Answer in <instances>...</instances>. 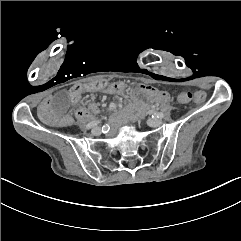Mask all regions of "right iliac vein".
<instances>
[{"mask_svg":"<svg viewBox=\"0 0 241 241\" xmlns=\"http://www.w3.org/2000/svg\"><path fill=\"white\" fill-rule=\"evenodd\" d=\"M101 133V128L100 127H95L92 129V134L93 135H99Z\"/></svg>","mask_w":241,"mask_h":241,"instance_id":"right-iliac-vein-1","label":"right iliac vein"}]
</instances>
